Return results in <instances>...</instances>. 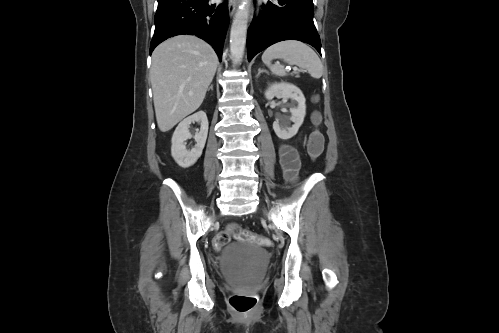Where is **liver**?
I'll use <instances>...</instances> for the list:
<instances>
[{
	"label": "liver",
	"mask_w": 499,
	"mask_h": 333,
	"mask_svg": "<svg viewBox=\"0 0 499 333\" xmlns=\"http://www.w3.org/2000/svg\"><path fill=\"white\" fill-rule=\"evenodd\" d=\"M217 65L213 48L191 35L172 37L153 51L150 79L160 131L171 130L200 107Z\"/></svg>",
	"instance_id": "1"
}]
</instances>
